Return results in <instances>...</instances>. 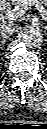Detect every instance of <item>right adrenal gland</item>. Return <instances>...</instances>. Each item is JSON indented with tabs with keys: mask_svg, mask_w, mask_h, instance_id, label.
Masks as SVG:
<instances>
[{
	"mask_svg": "<svg viewBox=\"0 0 47 129\" xmlns=\"http://www.w3.org/2000/svg\"><path fill=\"white\" fill-rule=\"evenodd\" d=\"M8 37H9L8 34H5V33H3V32L0 33V39L2 40V41H1V45L5 44L6 39H7Z\"/></svg>",
	"mask_w": 47,
	"mask_h": 129,
	"instance_id": "obj_1",
	"label": "right adrenal gland"
}]
</instances>
